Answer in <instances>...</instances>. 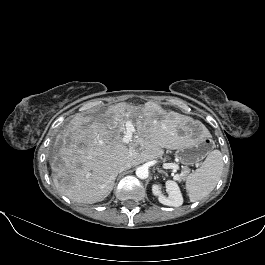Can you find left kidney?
Wrapping results in <instances>:
<instances>
[{
	"label": "left kidney",
	"mask_w": 265,
	"mask_h": 265,
	"mask_svg": "<svg viewBox=\"0 0 265 265\" xmlns=\"http://www.w3.org/2000/svg\"><path fill=\"white\" fill-rule=\"evenodd\" d=\"M166 190L168 196H164L161 192V186L159 184H154L152 186V191L161 204L172 207H179L183 204V197L178 184L175 181H166Z\"/></svg>",
	"instance_id": "left-kidney-1"
}]
</instances>
